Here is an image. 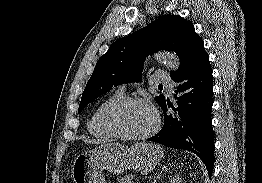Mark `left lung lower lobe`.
<instances>
[{
  "label": "left lung lower lobe",
  "mask_w": 262,
  "mask_h": 183,
  "mask_svg": "<svg viewBox=\"0 0 262 183\" xmlns=\"http://www.w3.org/2000/svg\"><path fill=\"white\" fill-rule=\"evenodd\" d=\"M171 78L179 84L175 91L177 107L165 99L160 105L164 125L158 134L147 140L195 153L211 176L214 163L213 81L205 49L193 55ZM168 107L175 113L167 114Z\"/></svg>",
  "instance_id": "1"
}]
</instances>
